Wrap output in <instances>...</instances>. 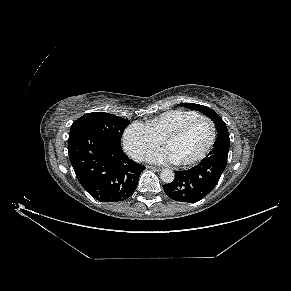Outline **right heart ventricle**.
<instances>
[{"mask_svg":"<svg viewBox=\"0 0 291 291\" xmlns=\"http://www.w3.org/2000/svg\"><path fill=\"white\" fill-rule=\"evenodd\" d=\"M198 116L200 114L193 110L175 109L160 114L150 120L146 126L156 137L162 140L169 132Z\"/></svg>","mask_w":291,"mask_h":291,"instance_id":"right-heart-ventricle-1","label":"right heart ventricle"}]
</instances>
